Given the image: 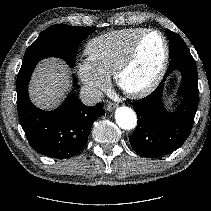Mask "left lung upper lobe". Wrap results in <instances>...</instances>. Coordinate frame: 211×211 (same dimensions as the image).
I'll return each instance as SVG.
<instances>
[{
  "mask_svg": "<svg viewBox=\"0 0 211 211\" xmlns=\"http://www.w3.org/2000/svg\"><path fill=\"white\" fill-rule=\"evenodd\" d=\"M171 32H172V31H170V30H167V31H166L167 35H168L169 33H171ZM173 33H174V32H173ZM175 34H176V33H175ZM180 52H190L189 49H188V47H187V45L184 43L183 40H182V42H181L179 48H172V49H170V57H173V56H175L176 54H178V53H180Z\"/></svg>",
  "mask_w": 211,
  "mask_h": 211,
  "instance_id": "5c2ea615",
  "label": "left lung upper lobe"
}]
</instances>
